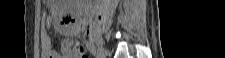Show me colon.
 <instances>
[{
  "mask_svg": "<svg viewBox=\"0 0 225 58\" xmlns=\"http://www.w3.org/2000/svg\"><path fill=\"white\" fill-rule=\"evenodd\" d=\"M70 57L72 58H86V53L82 46L75 44L70 49Z\"/></svg>",
  "mask_w": 225,
  "mask_h": 58,
  "instance_id": "obj_1",
  "label": "colon"
}]
</instances>
